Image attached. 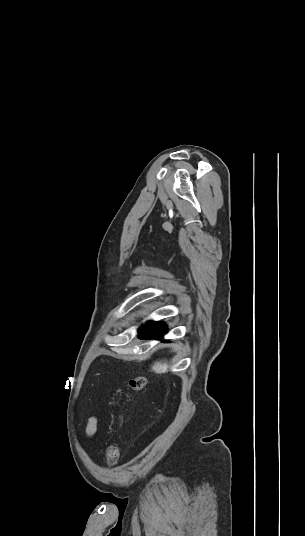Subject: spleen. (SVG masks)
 <instances>
[{
	"mask_svg": "<svg viewBox=\"0 0 305 536\" xmlns=\"http://www.w3.org/2000/svg\"><path fill=\"white\" fill-rule=\"evenodd\" d=\"M168 368L167 362H155L154 366H152V372H155V374H165V372H168Z\"/></svg>",
	"mask_w": 305,
	"mask_h": 536,
	"instance_id": "1",
	"label": "spleen"
}]
</instances>
